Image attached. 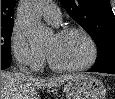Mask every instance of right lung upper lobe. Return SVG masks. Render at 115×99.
Segmentation results:
<instances>
[{
	"instance_id": "right-lung-upper-lobe-1",
	"label": "right lung upper lobe",
	"mask_w": 115,
	"mask_h": 99,
	"mask_svg": "<svg viewBox=\"0 0 115 99\" xmlns=\"http://www.w3.org/2000/svg\"><path fill=\"white\" fill-rule=\"evenodd\" d=\"M15 0H1V26L13 25V9Z\"/></svg>"
}]
</instances>
